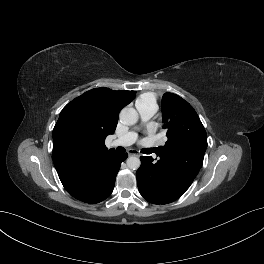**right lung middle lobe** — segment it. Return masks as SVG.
<instances>
[{
  "label": "right lung middle lobe",
  "instance_id": "dd1d6c3e",
  "mask_svg": "<svg viewBox=\"0 0 264 264\" xmlns=\"http://www.w3.org/2000/svg\"><path fill=\"white\" fill-rule=\"evenodd\" d=\"M64 127L73 133H79L83 129V114L80 109L71 110L64 119Z\"/></svg>",
  "mask_w": 264,
  "mask_h": 264
}]
</instances>
